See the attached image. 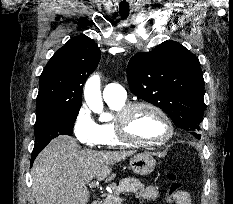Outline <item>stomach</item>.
Wrapping results in <instances>:
<instances>
[{
  "label": "stomach",
  "instance_id": "0dacf381",
  "mask_svg": "<svg viewBox=\"0 0 233 204\" xmlns=\"http://www.w3.org/2000/svg\"><path fill=\"white\" fill-rule=\"evenodd\" d=\"M156 161L149 153H140L130 159L132 171L139 175H148L155 169Z\"/></svg>",
  "mask_w": 233,
  "mask_h": 204
}]
</instances>
